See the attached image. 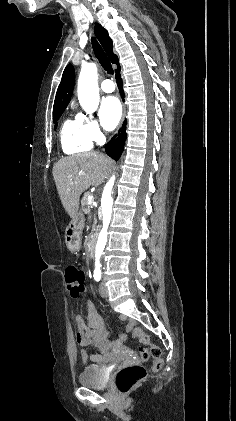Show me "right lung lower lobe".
I'll return each instance as SVG.
<instances>
[{
	"mask_svg": "<svg viewBox=\"0 0 236 421\" xmlns=\"http://www.w3.org/2000/svg\"><path fill=\"white\" fill-rule=\"evenodd\" d=\"M116 82L121 94L122 99H124V92L122 89V79L120 76V68L116 71ZM126 140V120L123 123L121 132L118 134V137L115 140H111L105 145V151L114 160H118L123 151L124 143Z\"/></svg>",
	"mask_w": 236,
	"mask_h": 421,
	"instance_id": "right-lung-lower-lobe-1",
	"label": "right lung lower lobe"
}]
</instances>
